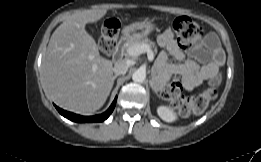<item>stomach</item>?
I'll list each match as a JSON object with an SVG mask.
<instances>
[{"label": "stomach", "instance_id": "stomach-1", "mask_svg": "<svg viewBox=\"0 0 261 162\" xmlns=\"http://www.w3.org/2000/svg\"><path fill=\"white\" fill-rule=\"evenodd\" d=\"M155 27L151 21L134 22L123 28V35L129 40L143 38L152 33Z\"/></svg>", "mask_w": 261, "mask_h": 162}]
</instances>
